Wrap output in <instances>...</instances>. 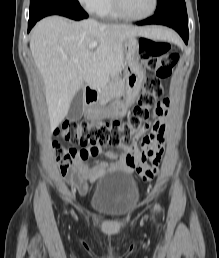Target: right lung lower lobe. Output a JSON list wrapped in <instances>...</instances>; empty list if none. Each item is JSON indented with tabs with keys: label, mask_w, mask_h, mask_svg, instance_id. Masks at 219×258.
Returning <instances> with one entry per match:
<instances>
[{
	"label": "right lung lower lobe",
	"mask_w": 219,
	"mask_h": 258,
	"mask_svg": "<svg viewBox=\"0 0 219 258\" xmlns=\"http://www.w3.org/2000/svg\"><path fill=\"white\" fill-rule=\"evenodd\" d=\"M49 15H61L74 20H81L88 17V14L81 8L79 3L58 2L44 7L36 14L29 16L28 32L37 21Z\"/></svg>",
	"instance_id": "obj_1"
}]
</instances>
